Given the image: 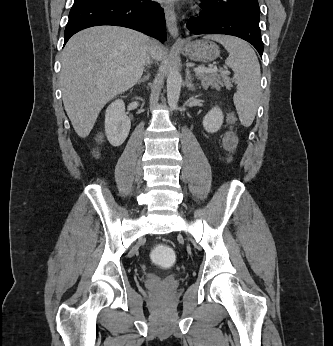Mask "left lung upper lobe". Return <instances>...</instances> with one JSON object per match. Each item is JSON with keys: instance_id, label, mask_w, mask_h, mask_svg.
I'll return each mask as SVG.
<instances>
[{"instance_id": "1", "label": "left lung upper lobe", "mask_w": 333, "mask_h": 346, "mask_svg": "<svg viewBox=\"0 0 333 346\" xmlns=\"http://www.w3.org/2000/svg\"><path fill=\"white\" fill-rule=\"evenodd\" d=\"M219 5L233 14L245 16L259 22V4L257 0H202Z\"/></svg>"}]
</instances>
